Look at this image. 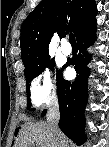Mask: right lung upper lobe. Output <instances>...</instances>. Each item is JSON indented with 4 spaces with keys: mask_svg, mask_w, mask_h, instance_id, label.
<instances>
[{
    "mask_svg": "<svg viewBox=\"0 0 109 147\" xmlns=\"http://www.w3.org/2000/svg\"><path fill=\"white\" fill-rule=\"evenodd\" d=\"M94 0H42L21 26V57L26 67L36 65L48 55L53 32L77 37L95 18Z\"/></svg>",
    "mask_w": 109,
    "mask_h": 147,
    "instance_id": "cb5924a9",
    "label": "right lung upper lobe"
}]
</instances>
